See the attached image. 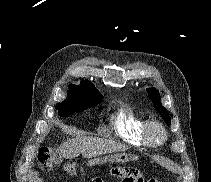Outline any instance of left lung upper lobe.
Listing matches in <instances>:
<instances>
[{
    "mask_svg": "<svg viewBox=\"0 0 211 182\" xmlns=\"http://www.w3.org/2000/svg\"><path fill=\"white\" fill-rule=\"evenodd\" d=\"M147 92L152 100L155 109L159 112V114L161 115L163 120L167 123V125H170L171 120L167 110L162 106L160 102L159 91L156 88H148Z\"/></svg>",
    "mask_w": 211,
    "mask_h": 182,
    "instance_id": "5c2ea615",
    "label": "left lung upper lobe"
}]
</instances>
